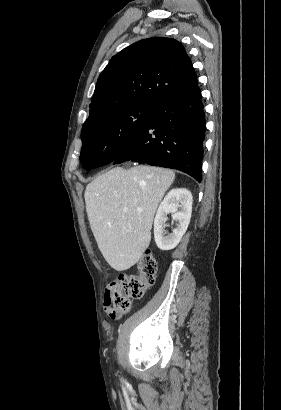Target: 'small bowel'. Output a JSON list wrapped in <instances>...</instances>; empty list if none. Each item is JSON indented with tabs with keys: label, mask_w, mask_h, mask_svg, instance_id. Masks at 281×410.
I'll use <instances>...</instances> for the list:
<instances>
[{
	"label": "small bowel",
	"mask_w": 281,
	"mask_h": 410,
	"mask_svg": "<svg viewBox=\"0 0 281 410\" xmlns=\"http://www.w3.org/2000/svg\"><path fill=\"white\" fill-rule=\"evenodd\" d=\"M103 305H104L105 313L110 316L112 312V308H111V302H110V297H109L108 292L105 293Z\"/></svg>",
	"instance_id": "c3829d8e"
}]
</instances>
